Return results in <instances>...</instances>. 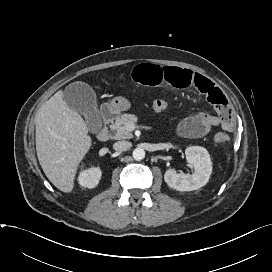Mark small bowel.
Wrapping results in <instances>:
<instances>
[{
	"mask_svg": "<svg viewBox=\"0 0 272 272\" xmlns=\"http://www.w3.org/2000/svg\"><path fill=\"white\" fill-rule=\"evenodd\" d=\"M132 77L135 82L146 86L168 84L176 88L195 89L204 94L215 106L218 115L197 113L180 120L176 126L180 136L199 138L217 126L227 131L233 129L232 113L227 98L219 87L202 75L178 67L140 64L133 69Z\"/></svg>",
	"mask_w": 272,
	"mask_h": 272,
	"instance_id": "small-bowel-1",
	"label": "small bowel"
}]
</instances>
